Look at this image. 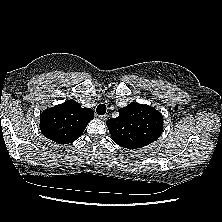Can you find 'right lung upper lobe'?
I'll use <instances>...</instances> for the list:
<instances>
[{
    "mask_svg": "<svg viewBox=\"0 0 222 222\" xmlns=\"http://www.w3.org/2000/svg\"><path fill=\"white\" fill-rule=\"evenodd\" d=\"M93 118L92 109L82 108L79 103L70 99L43 111L40 129L46 138L59 144H68L82 135Z\"/></svg>",
    "mask_w": 222,
    "mask_h": 222,
    "instance_id": "obj_1",
    "label": "right lung upper lobe"
}]
</instances>
